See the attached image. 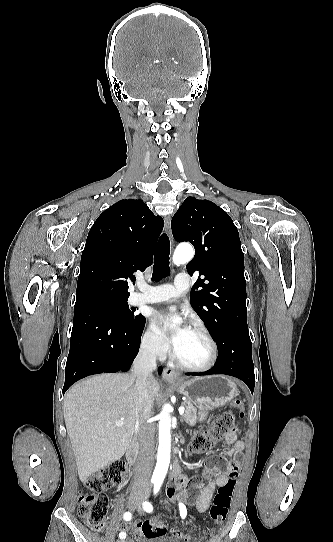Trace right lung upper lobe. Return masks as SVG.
I'll return each mask as SVG.
<instances>
[{"instance_id": "obj_1", "label": "right lung upper lobe", "mask_w": 333, "mask_h": 542, "mask_svg": "<svg viewBox=\"0 0 333 542\" xmlns=\"http://www.w3.org/2000/svg\"><path fill=\"white\" fill-rule=\"evenodd\" d=\"M164 221L140 199L118 201L94 222L81 256L76 302L92 293L128 298L127 279L153 263L156 241ZM101 250L104 259L94 253ZM134 277V279L132 278Z\"/></svg>"}]
</instances>
